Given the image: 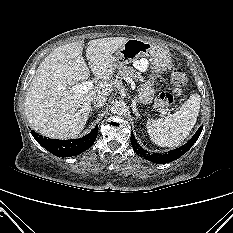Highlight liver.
I'll return each instance as SVG.
<instances>
[{
    "instance_id": "1",
    "label": "liver",
    "mask_w": 233,
    "mask_h": 233,
    "mask_svg": "<svg viewBox=\"0 0 233 233\" xmlns=\"http://www.w3.org/2000/svg\"><path fill=\"white\" fill-rule=\"evenodd\" d=\"M129 38L109 37L90 40L82 56L84 41L65 44L52 51L39 65L26 93L25 110L31 127L43 136L67 139L78 135L88 120L92 98L108 96V81L115 71V53ZM101 81L85 93L72 86L90 76Z\"/></svg>"
}]
</instances>
